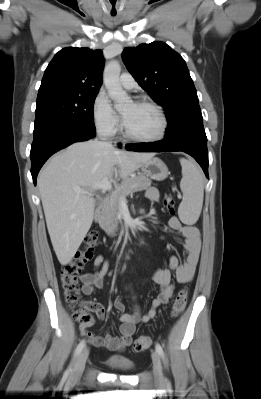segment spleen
Listing matches in <instances>:
<instances>
[{
    "label": "spleen",
    "instance_id": "3e777b00",
    "mask_svg": "<svg viewBox=\"0 0 261 399\" xmlns=\"http://www.w3.org/2000/svg\"><path fill=\"white\" fill-rule=\"evenodd\" d=\"M182 179L180 188L183 200L178 208L180 220L193 225L198 220L204 197V177L199 167L190 160L181 158Z\"/></svg>",
    "mask_w": 261,
    "mask_h": 399
}]
</instances>
